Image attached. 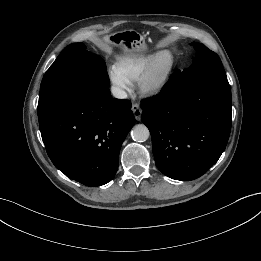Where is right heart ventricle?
<instances>
[{"mask_svg":"<svg viewBox=\"0 0 261 261\" xmlns=\"http://www.w3.org/2000/svg\"><path fill=\"white\" fill-rule=\"evenodd\" d=\"M154 54L148 56H122L115 62L117 72L129 83L137 81Z\"/></svg>","mask_w":261,"mask_h":261,"instance_id":"obj_1","label":"right heart ventricle"}]
</instances>
